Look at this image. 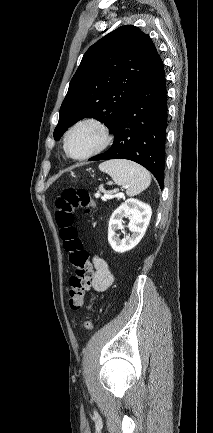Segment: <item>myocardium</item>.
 Instances as JSON below:
<instances>
[{
	"label": "myocardium",
	"mask_w": 213,
	"mask_h": 433,
	"mask_svg": "<svg viewBox=\"0 0 213 433\" xmlns=\"http://www.w3.org/2000/svg\"><path fill=\"white\" fill-rule=\"evenodd\" d=\"M84 125H92V126L96 127L97 129H99L101 134H102V141L99 144V146L97 148H95L93 151H91L90 153L83 155V156L76 157L70 153L69 145H68L69 137L74 130H76L77 128L84 126ZM111 142H112V135L110 133L109 128L106 126V124H104L102 121H100L96 118L89 117V118H84V119L77 121L74 125H72L69 128V130L67 131V133L64 137L63 146H64L65 153L67 154L68 157H70L71 159H74V160L82 161V160L89 159V158L101 153L110 145Z\"/></svg>",
	"instance_id": "f54148a6"
}]
</instances>
